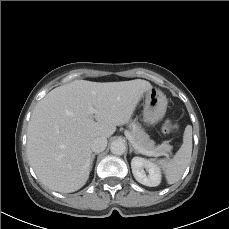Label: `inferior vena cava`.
<instances>
[{
	"instance_id": "inferior-vena-cava-1",
	"label": "inferior vena cava",
	"mask_w": 229,
	"mask_h": 229,
	"mask_svg": "<svg viewBox=\"0 0 229 229\" xmlns=\"http://www.w3.org/2000/svg\"><path fill=\"white\" fill-rule=\"evenodd\" d=\"M107 139L105 137H97L91 142V150L95 153H100L105 150Z\"/></svg>"
}]
</instances>
